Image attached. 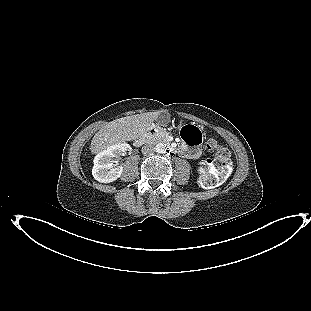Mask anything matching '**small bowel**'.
<instances>
[{
  "label": "small bowel",
  "instance_id": "small-bowel-1",
  "mask_svg": "<svg viewBox=\"0 0 311 311\" xmlns=\"http://www.w3.org/2000/svg\"><path fill=\"white\" fill-rule=\"evenodd\" d=\"M194 129L197 132H199V130L197 128H194ZM191 145L192 144L184 138V142L181 145L180 152L182 155H186V156L195 158L199 155V150L196 148H191Z\"/></svg>",
  "mask_w": 311,
  "mask_h": 311
}]
</instances>
